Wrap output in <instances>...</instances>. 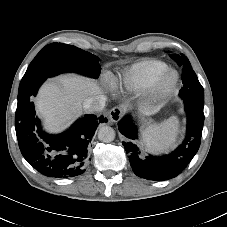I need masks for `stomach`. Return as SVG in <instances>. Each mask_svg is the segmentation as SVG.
<instances>
[{"instance_id": "obj_1", "label": "stomach", "mask_w": 227, "mask_h": 227, "mask_svg": "<svg viewBox=\"0 0 227 227\" xmlns=\"http://www.w3.org/2000/svg\"><path fill=\"white\" fill-rule=\"evenodd\" d=\"M143 126L145 128V131H148V130L152 129L153 127H155V124L153 123L152 119L148 118V119L144 120Z\"/></svg>"}]
</instances>
